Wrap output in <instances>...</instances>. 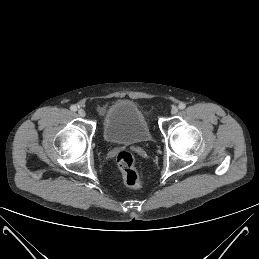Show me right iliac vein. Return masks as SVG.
I'll return each mask as SVG.
<instances>
[{"label": "right iliac vein", "instance_id": "obj_1", "mask_svg": "<svg viewBox=\"0 0 259 259\" xmlns=\"http://www.w3.org/2000/svg\"><path fill=\"white\" fill-rule=\"evenodd\" d=\"M78 115H79L80 117H85L86 113H85V111H84L83 109H79V110H78Z\"/></svg>", "mask_w": 259, "mask_h": 259}]
</instances>
